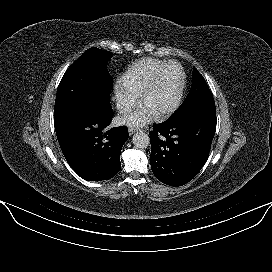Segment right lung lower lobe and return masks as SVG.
Segmentation results:
<instances>
[{"mask_svg": "<svg viewBox=\"0 0 272 272\" xmlns=\"http://www.w3.org/2000/svg\"><path fill=\"white\" fill-rule=\"evenodd\" d=\"M113 115L112 108L79 107L55 127L68 164L87 181L108 180L121 169V148L129 134L125 126L107 130Z\"/></svg>", "mask_w": 272, "mask_h": 272, "instance_id": "98d812e1", "label": "right lung lower lobe"}]
</instances>
